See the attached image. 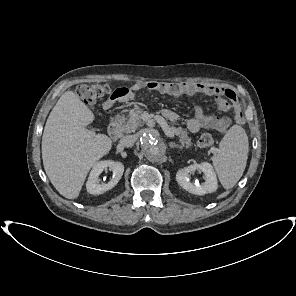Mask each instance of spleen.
<instances>
[{
  "label": "spleen",
  "instance_id": "3e777b00",
  "mask_svg": "<svg viewBox=\"0 0 296 296\" xmlns=\"http://www.w3.org/2000/svg\"><path fill=\"white\" fill-rule=\"evenodd\" d=\"M249 142L245 130L232 126L222 138L213 165L225 189L232 188L242 177L246 167Z\"/></svg>",
  "mask_w": 296,
  "mask_h": 296
}]
</instances>
